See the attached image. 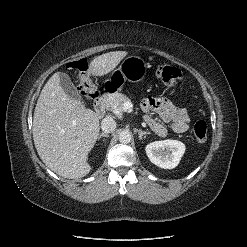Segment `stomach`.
Returning <instances> with one entry per match:
<instances>
[{
    "instance_id": "0dacf381",
    "label": "stomach",
    "mask_w": 247,
    "mask_h": 247,
    "mask_svg": "<svg viewBox=\"0 0 247 247\" xmlns=\"http://www.w3.org/2000/svg\"><path fill=\"white\" fill-rule=\"evenodd\" d=\"M148 64L139 56L126 57L107 81L106 88L111 91L120 90L124 82H139L145 78Z\"/></svg>"
}]
</instances>
